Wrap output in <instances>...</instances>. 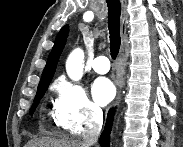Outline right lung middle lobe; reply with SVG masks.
I'll return each instance as SVG.
<instances>
[{
  "label": "right lung middle lobe",
  "mask_w": 183,
  "mask_h": 147,
  "mask_svg": "<svg viewBox=\"0 0 183 147\" xmlns=\"http://www.w3.org/2000/svg\"><path fill=\"white\" fill-rule=\"evenodd\" d=\"M47 88H48V87H44V88H39V89L37 90V94H36V96H35L34 103H33L32 107H31V110H30V114H32V113L34 112V110H35V108L37 107V105H38L40 99L44 96V94H45Z\"/></svg>",
  "instance_id": "right-lung-middle-lobe-1"
}]
</instances>
